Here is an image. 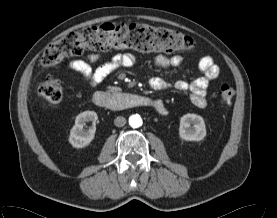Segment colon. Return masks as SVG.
<instances>
[{
  "mask_svg": "<svg viewBox=\"0 0 277 218\" xmlns=\"http://www.w3.org/2000/svg\"><path fill=\"white\" fill-rule=\"evenodd\" d=\"M194 41L183 33L165 27H153L140 24L106 23L84 28L66 34L50 44L41 56L43 66H52L63 59L81 55L86 50H133L140 53L190 51ZM39 95L48 104L61 101L63 90L57 80L47 79L38 89ZM235 96L234 88L229 84L219 87L221 105L228 106Z\"/></svg>",
  "mask_w": 277,
  "mask_h": 218,
  "instance_id": "1",
  "label": "colon"
}]
</instances>
